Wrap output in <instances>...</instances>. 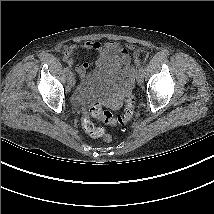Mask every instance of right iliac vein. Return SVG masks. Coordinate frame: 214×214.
I'll use <instances>...</instances> for the list:
<instances>
[{
  "instance_id": "right-iliac-vein-1",
  "label": "right iliac vein",
  "mask_w": 214,
  "mask_h": 214,
  "mask_svg": "<svg viewBox=\"0 0 214 214\" xmlns=\"http://www.w3.org/2000/svg\"><path fill=\"white\" fill-rule=\"evenodd\" d=\"M68 80H69V84H70L71 86H73V85L75 84V78H74V76L72 75V73L69 74Z\"/></svg>"
}]
</instances>
